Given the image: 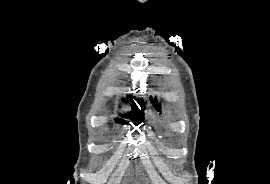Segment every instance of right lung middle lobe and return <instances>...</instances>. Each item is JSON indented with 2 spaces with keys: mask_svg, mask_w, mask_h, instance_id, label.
<instances>
[{
  "mask_svg": "<svg viewBox=\"0 0 270 184\" xmlns=\"http://www.w3.org/2000/svg\"><path fill=\"white\" fill-rule=\"evenodd\" d=\"M141 121L137 122V125L140 124Z\"/></svg>",
  "mask_w": 270,
  "mask_h": 184,
  "instance_id": "dd1d6c3e",
  "label": "right lung middle lobe"
}]
</instances>
